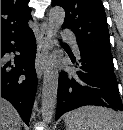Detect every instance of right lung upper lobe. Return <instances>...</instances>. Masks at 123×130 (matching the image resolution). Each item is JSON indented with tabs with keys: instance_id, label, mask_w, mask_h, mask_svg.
<instances>
[{
	"instance_id": "1",
	"label": "right lung upper lobe",
	"mask_w": 123,
	"mask_h": 130,
	"mask_svg": "<svg viewBox=\"0 0 123 130\" xmlns=\"http://www.w3.org/2000/svg\"><path fill=\"white\" fill-rule=\"evenodd\" d=\"M29 0H1V38L28 31L31 19Z\"/></svg>"
}]
</instances>
